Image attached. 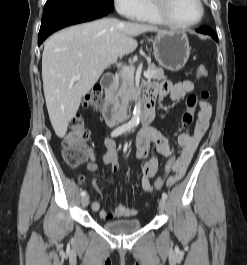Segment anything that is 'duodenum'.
I'll return each mask as SVG.
<instances>
[{"label": "duodenum", "instance_id": "duodenum-1", "mask_svg": "<svg viewBox=\"0 0 247 265\" xmlns=\"http://www.w3.org/2000/svg\"><path fill=\"white\" fill-rule=\"evenodd\" d=\"M115 81V75L110 72L105 73L101 81V85L107 93L106 101L102 107V114L104 119L110 124H113L118 118V107L114 104L111 98ZM154 105L155 93L152 90L146 89L144 94V109L140 115V124L146 125L154 119L156 114Z\"/></svg>", "mask_w": 247, "mask_h": 265}]
</instances>
